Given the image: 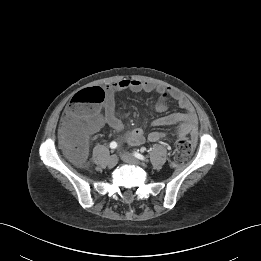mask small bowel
Masks as SVG:
<instances>
[{
    "label": "small bowel",
    "instance_id": "c3829d8e",
    "mask_svg": "<svg viewBox=\"0 0 261 261\" xmlns=\"http://www.w3.org/2000/svg\"><path fill=\"white\" fill-rule=\"evenodd\" d=\"M124 90L158 93L160 97L153 105V108L160 113L167 111L169 98L176 100L183 112L158 117L152 121V124L155 126H175L177 136L191 135L194 140L196 139L198 124L188 99L177 90L156 86L150 82L137 79H121L107 86L102 110H97L88 120V134L99 131L105 125L110 126L117 132L123 130V116L116 110L115 94ZM164 136L165 133L162 131H152L148 134L147 139L151 142H156ZM124 137L130 145L134 146L141 145L145 141V134L142 128H135L125 133Z\"/></svg>",
    "mask_w": 261,
    "mask_h": 261
}]
</instances>
